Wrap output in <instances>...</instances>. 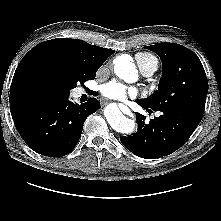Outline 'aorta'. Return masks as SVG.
<instances>
[{"label": "aorta", "instance_id": "aorta-1", "mask_svg": "<svg viewBox=\"0 0 221 221\" xmlns=\"http://www.w3.org/2000/svg\"><path fill=\"white\" fill-rule=\"evenodd\" d=\"M115 73L124 81L131 83L137 79L138 73L135 64L124 57L115 61ZM105 117L110 126L119 133L129 134L135 129V122L125 117L116 104H111L105 109Z\"/></svg>", "mask_w": 221, "mask_h": 221}]
</instances>
